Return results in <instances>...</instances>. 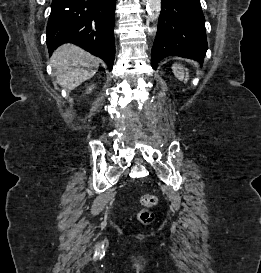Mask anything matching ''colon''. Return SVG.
<instances>
[{
  "mask_svg": "<svg viewBox=\"0 0 261 273\" xmlns=\"http://www.w3.org/2000/svg\"><path fill=\"white\" fill-rule=\"evenodd\" d=\"M140 201L143 206L149 207L155 205L157 199L154 195L145 194L141 197ZM138 219L143 223H149L153 220V214L150 211L143 209L138 213Z\"/></svg>",
  "mask_w": 261,
  "mask_h": 273,
  "instance_id": "obj_1",
  "label": "colon"
}]
</instances>
